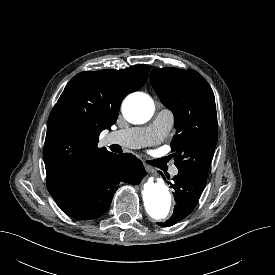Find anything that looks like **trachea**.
Masks as SVG:
<instances>
[{"label": "trachea", "mask_w": 275, "mask_h": 275, "mask_svg": "<svg viewBox=\"0 0 275 275\" xmlns=\"http://www.w3.org/2000/svg\"><path fill=\"white\" fill-rule=\"evenodd\" d=\"M147 163H148V164H151V161H148Z\"/></svg>", "instance_id": "1"}]
</instances>
